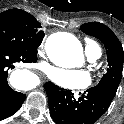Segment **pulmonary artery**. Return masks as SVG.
Instances as JSON below:
<instances>
[{
  "instance_id": "e3ab8cb5",
  "label": "pulmonary artery",
  "mask_w": 124,
  "mask_h": 124,
  "mask_svg": "<svg viewBox=\"0 0 124 124\" xmlns=\"http://www.w3.org/2000/svg\"><path fill=\"white\" fill-rule=\"evenodd\" d=\"M88 58L90 61H95L96 59L99 58V56L98 55H91V56H88Z\"/></svg>"
}]
</instances>
